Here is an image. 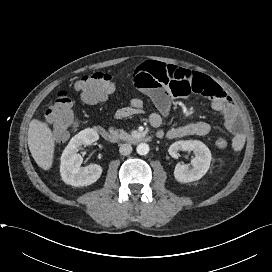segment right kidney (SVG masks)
<instances>
[{
  "instance_id": "ca27d5eb",
  "label": "right kidney",
  "mask_w": 272,
  "mask_h": 272,
  "mask_svg": "<svg viewBox=\"0 0 272 272\" xmlns=\"http://www.w3.org/2000/svg\"><path fill=\"white\" fill-rule=\"evenodd\" d=\"M99 139L98 133L90 128L76 134L64 149L61 156L60 173L66 184L75 187L88 186L95 183L102 174V167L90 164L82 168L83 158L77 154L82 145H90Z\"/></svg>"
}]
</instances>
